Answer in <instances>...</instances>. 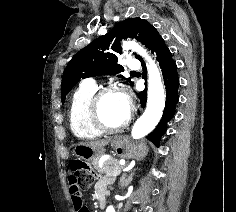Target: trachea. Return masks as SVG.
<instances>
[{
	"mask_svg": "<svg viewBox=\"0 0 236 212\" xmlns=\"http://www.w3.org/2000/svg\"><path fill=\"white\" fill-rule=\"evenodd\" d=\"M131 73H136L135 71H132Z\"/></svg>",
	"mask_w": 236,
	"mask_h": 212,
	"instance_id": "3493384b",
	"label": "trachea"
}]
</instances>
